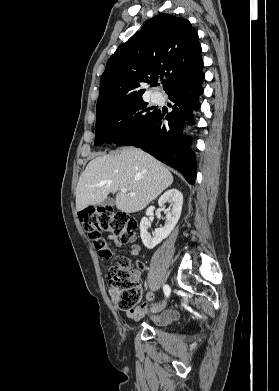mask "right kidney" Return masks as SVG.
<instances>
[{
  "instance_id": "obj_1",
  "label": "right kidney",
  "mask_w": 279,
  "mask_h": 391,
  "mask_svg": "<svg viewBox=\"0 0 279 391\" xmlns=\"http://www.w3.org/2000/svg\"><path fill=\"white\" fill-rule=\"evenodd\" d=\"M166 203H170L167 209L166 221L163 227L155 229L153 236L150 235L148 229L151 227L150 219L153 216L155 207L151 206L146 211V216L140 222V235L142 242L148 249H153L163 239L167 238L176 226L182 211L183 195L173 188L167 190L158 200L159 207H163Z\"/></svg>"
}]
</instances>
